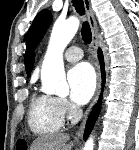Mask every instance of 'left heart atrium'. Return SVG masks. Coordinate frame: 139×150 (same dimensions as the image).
Masks as SVG:
<instances>
[{"mask_svg": "<svg viewBox=\"0 0 139 150\" xmlns=\"http://www.w3.org/2000/svg\"><path fill=\"white\" fill-rule=\"evenodd\" d=\"M70 97L73 102L83 105L93 96L96 89V74L88 63L75 65L67 76Z\"/></svg>", "mask_w": 139, "mask_h": 150, "instance_id": "obj_1", "label": "left heart atrium"}]
</instances>
